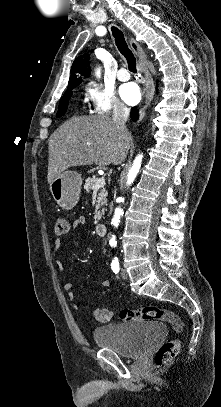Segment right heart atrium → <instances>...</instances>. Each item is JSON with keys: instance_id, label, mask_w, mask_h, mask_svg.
<instances>
[{"instance_id": "right-heart-atrium-1", "label": "right heart atrium", "mask_w": 221, "mask_h": 407, "mask_svg": "<svg viewBox=\"0 0 221 407\" xmlns=\"http://www.w3.org/2000/svg\"><path fill=\"white\" fill-rule=\"evenodd\" d=\"M89 106L94 113L112 114L126 113L128 107L114 94L113 91L104 86L89 82L84 87Z\"/></svg>"}]
</instances>
